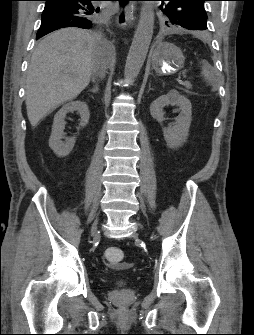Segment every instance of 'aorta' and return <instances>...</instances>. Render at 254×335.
Here are the masks:
<instances>
[{
	"label": "aorta",
	"instance_id": "aorta-1",
	"mask_svg": "<svg viewBox=\"0 0 254 335\" xmlns=\"http://www.w3.org/2000/svg\"><path fill=\"white\" fill-rule=\"evenodd\" d=\"M154 29V7L145 2L141 8L140 19L127 56L124 77L131 83L140 73L146 59Z\"/></svg>",
	"mask_w": 254,
	"mask_h": 335
}]
</instances>
